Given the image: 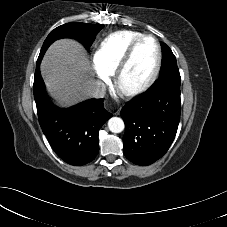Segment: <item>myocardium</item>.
<instances>
[{
  "mask_svg": "<svg viewBox=\"0 0 227 227\" xmlns=\"http://www.w3.org/2000/svg\"><path fill=\"white\" fill-rule=\"evenodd\" d=\"M147 38H150L155 42L156 49H157V60H156L154 70L152 71L150 76L141 84L131 88H124L122 86V77L132 60V57L134 55L136 48L144 39H147ZM161 65H162V49L158 39L152 34H142L129 45L128 49L126 50L125 54L123 55L119 64L117 65L114 72L115 87L120 93H122L125 96H128V97L136 96L144 92L154 83V81L156 80L160 72Z\"/></svg>",
  "mask_w": 227,
  "mask_h": 227,
  "instance_id": "f54148a6",
  "label": "myocardium"
}]
</instances>
